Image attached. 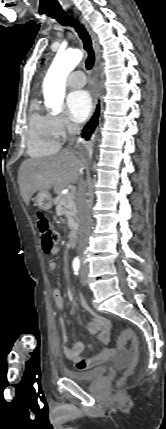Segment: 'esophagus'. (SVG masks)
<instances>
[{
	"label": "esophagus",
	"instance_id": "esophagus-1",
	"mask_svg": "<svg viewBox=\"0 0 166 429\" xmlns=\"http://www.w3.org/2000/svg\"><path fill=\"white\" fill-rule=\"evenodd\" d=\"M74 16L76 17L77 14H74ZM79 20L82 22V24L85 26V28L87 29L88 33L91 36L92 42H93V48L95 51V64H94V81L95 84L98 80V67H99V61H100V46L98 44V39L96 34L91 30L90 26L88 25V23L86 22V20L84 18H82L81 16H79ZM97 91L95 89V93H94V100H93V112L95 111L96 105H97Z\"/></svg>",
	"mask_w": 166,
	"mask_h": 429
}]
</instances>
